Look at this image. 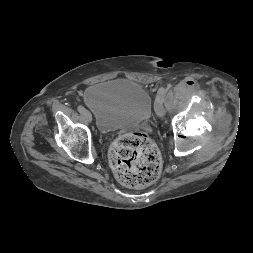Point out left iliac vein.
Here are the masks:
<instances>
[{
  "label": "left iliac vein",
  "instance_id": "left-iliac-vein-1",
  "mask_svg": "<svg viewBox=\"0 0 253 253\" xmlns=\"http://www.w3.org/2000/svg\"><path fill=\"white\" fill-rule=\"evenodd\" d=\"M154 110L159 117H162L164 115V106L162 100L159 97L156 98Z\"/></svg>",
  "mask_w": 253,
  "mask_h": 253
}]
</instances>
